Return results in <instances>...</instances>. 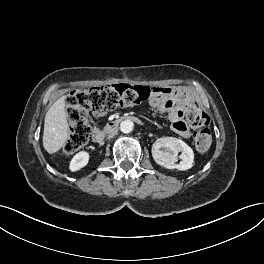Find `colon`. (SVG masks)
<instances>
[{
  "mask_svg": "<svg viewBox=\"0 0 264 264\" xmlns=\"http://www.w3.org/2000/svg\"><path fill=\"white\" fill-rule=\"evenodd\" d=\"M152 94L153 89L150 87L124 83L72 90L66 98L70 132L64 151L74 153L89 141L93 130L87 120L89 111L105 112L136 106L148 100ZM186 120L195 129L193 137L196 149L205 152L212 140L207 128L208 116L195 102H190L186 108Z\"/></svg>",
  "mask_w": 264,
  "mask_h": 264,
  "instance_id": "5ec220e1",
  "label": "colon"
}]
</instances>
